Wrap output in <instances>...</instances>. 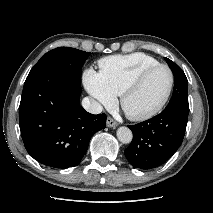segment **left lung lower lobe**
I'll return each instance as SVG.
<instances>
[{
    "instance_id": "0a47b994",
    "label": "left lung lower lobe",
    "mask_w": 213,
    "mask_h": 213,
    "mask_svg": "<svg viewBox=\"0 0 213 213\" xmlns=\"http://www.w3.org/2000/svg\"><path fill=\"white\" fill-rule=\"evenodd\" d=\"M189 105L169 103L157 116L129 126L133 141L124 154L133 167L152 169L164 164L182 144Z\"/></svg>"
}]
</instances>
